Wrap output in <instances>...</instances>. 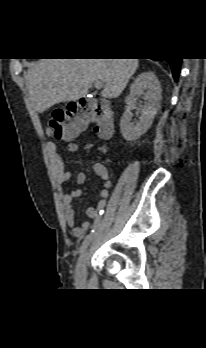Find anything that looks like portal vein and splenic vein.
I'll return each mask as SVG.
<instances>
[{"mask_svg": "<svg viewBox=\"0 0 206 348\" xmlns=\"http://www.w3.org/2000/svg\"><path fill=\"white\" fill-rule=\"evenodd\" d=\"M102 86H103V83H102L101 81H96V82H95V87H96L97 89L101 88Z\"/></svg>", "mask_w": 206, "mask_h": 348, "instance_id": "1", "label": "portal vein and splenic vein"}]
</instances>
